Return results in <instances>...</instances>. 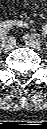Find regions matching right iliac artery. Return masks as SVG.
<instances>
[{
	"mask_svg": "<svg viewBox=\"0 0 47 129\" xmlns=\"http://www.w3.org/2000/svg\"><path fill=\"white\" fill-rule=\"evenodd\" d=\"M13 25H18V26H23L26 24H23L22 21H6L3 22L0 25V37L1 39H4L6 37V35L8 34L9 29L13 26Z\"/></svg>",
	"mask_w": 47,
	"mask_h": 129,
	"instance_id": "82829eb1",
	"label": "right iliac artery"
}]
</instances>
